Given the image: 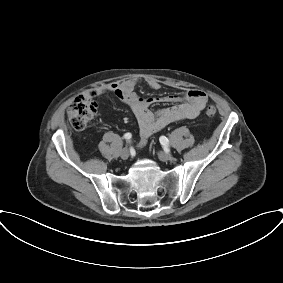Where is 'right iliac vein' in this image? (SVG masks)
Here are the masks:
<instances>
[{
    "mask_svg": "<svg viewBox=\"0 0 283 283\" xmlns=\"http://www.w3.org/2000/svg\"><path fill=\"white\" fill-rule=\"evenodd\" d=\"M129 155L130 154H129L128 149L124 148V149L121 150L120 156H121L122 159H124V160L128 159Z\"/></svg>",
    "mask_w": 283,
    "mask_h": 283,
    "instance_id": "1",
    "label": "right iliac vein"
}]
</instances>
